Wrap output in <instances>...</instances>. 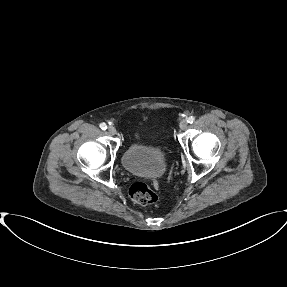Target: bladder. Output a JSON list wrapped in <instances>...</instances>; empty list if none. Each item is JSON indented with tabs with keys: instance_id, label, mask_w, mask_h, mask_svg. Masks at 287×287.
I'll return each instance as SVG.
<instances>
[{
	"instance_id": "31cf9c89",
	"label": "bladder",
	"mask_w": 287,
	"mask_h": 287,
	"mask_svg": "<svg viewBox=\"0 0 287 287\" xmlns=\"http://www.w3.org/2000/svg\"><path fill=\"white\" fill-rule=\"evenodd\" d=\"M122 166L134 175H156L165 169L161 150L146 143H133L121 157Z\"/></svg>"
}]
</instances>
